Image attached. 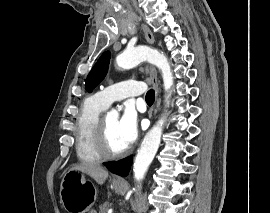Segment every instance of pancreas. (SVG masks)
Returning a JSON list of instances; mask_svg holds the SVG:
<instances>
[{
	"instance_id": "1",
	"label": "pancreas",
	"mask_w": 270,
	"mask_h": 213,
	"mask_svg": "<svg viewBox=\"0 0 270 213\" xmlns=\"http://www.w3.org/2000/svg\"><path fill=\"white\" fill-rule=\"evenodd\" d=\"M109 203H104L99 207V213H107Z\"/></svg>"
}]
</instances>
